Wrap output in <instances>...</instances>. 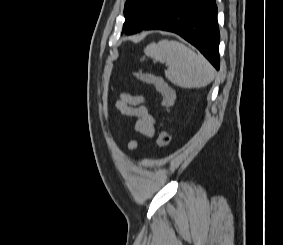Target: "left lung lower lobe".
Listing matches in <instances>:
<instances>
[{
	"mask_svg": "<svg viewBox=\"0 0 283 245\" xmlns=\"http://www.w3.org/2000/svg\"><path fill=\"white\" fill-rule=\"evenodd\" d=\"M174 32L194 45L219 70V28L215 0H173L145 30Z\"/></svg>",
	"mask_w": 283,
	"mask_h": 245,
	"instance_id": "1",
	"label": "left lung lower lobe"
}]
</instances>
